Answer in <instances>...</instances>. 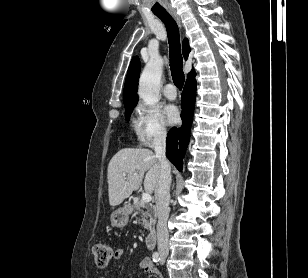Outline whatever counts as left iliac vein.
Instances as JSON below:
<instances>
[{"label":"left iliac vein","mask_w":308,"mask_h":278,"mask_svg":"<svg viewBox=\"0 0 308 278\" xmlns=\"http://www.w3.org/2000/svg\"><path fill=\"white\" fill-rule=\"evenodd\" d=\"M164 262H165V257H162L160 260V264H164Z\"/></svg>","instance_id":"1"}]
</instances>
